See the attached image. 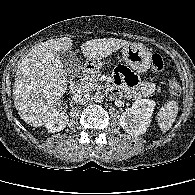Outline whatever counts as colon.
<instances>
[{"instance_id":"1","label":"colon","mask_w":195,"mask_h":195,"mask_svg":"<svg viewBox=\"0 0 195 195\" xmlns=\"http://www.w3.org/2000/svg\"><path fill=\"white\" fill-rule=\"evenodd\" d=\"M151 68L154 73H161L164 69V60L158 53L151 56ZM168 91L172 96H179L181 93V86L176 79H171L168 82Z\"/></svg>"}]
</instances>
